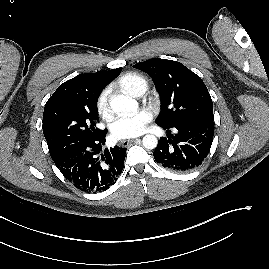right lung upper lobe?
I'll list each match as a JSON object with an SVG mask.
<instances>
[{"label": "right lung upper lobe", "mask_w": 269, "mask_h": 269, "mask_svg": "<svg viewBox=\"0 0 269 269\" xmlns=\"http://www.w3.org/2000/svg\"><path fill=\"white\" fill-rule=\"evenodd\" d=\"M122 68L96 73L80 74L61 84L48 101L73 97L94 95L99 96L102 89L118 76Z\"/></svg>", "instance_id": "1"}]
</instances>
